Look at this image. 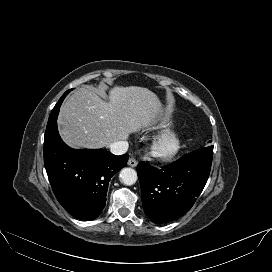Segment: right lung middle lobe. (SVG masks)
Listing matches in <instances>:
<instances>
[{"mask_svg": "<svg viewBox=\"0 0 272 272\" xmlns=\"http://www.w3.org/2000/svg\"><path fill=\"white\" fill-rule=\"evenodd\" d=\"M72 90V89H71ZM71 90H68L67 92H65L66 94H68ZM53 116L54 115H50L49 116V120H48V123L47 124H49L52 120H53Z\"/></svg>", "mask_w": 272, "mask_h": 272, "instance_id": "dd1d6c3e", "label": "right lung middle lobe"}]
</instances>
